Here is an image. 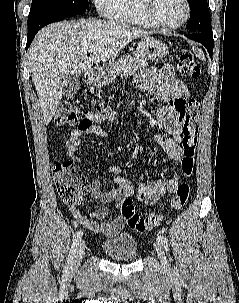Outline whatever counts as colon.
<instances>
[{
	"label": "colon",
	"instance_id": "obj_1",
	"mask_svg": "<svg viewBox=\"0 0 239 303\" xmlns=\"http://www.w3.org/2000/svg\"><path fill=\"white\" fill-rule=\"evenodd\" d=\"M178 71L187 78H198L200 69L195 58L190 54H182L178 62ZM201 106L196 99H190L187 105V113L183 115L181 145L183 158L181 170L186 178H191L194 172L195 153L200 130ZM99 112H107L98 107ZM80 111L73 99H65L57 112L56 122L60 124H74L80 120ZM53 177L57 193L61 201L68 206L80 205L83 195L88 190V182L79 171L74 161L56 162L53 165ZM191 187L189 183L183 182L178 185L175 195L171 199V206L175 209L182 208L188 201ZM121 215L128 226L139 232L158 228L163 224V217L158 213H150L142 216L135 211L132 198L123 201Z\"/></svg>",
	"mask_w": 239,
	"mask_h": 303
}]
</instances>
